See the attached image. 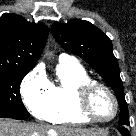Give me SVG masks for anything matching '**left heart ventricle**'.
Instances as JSON below:
<instances>
[{
	"label": "left heart ventricle",
	"instance_id": "1",
	"mask_svg": "<svg viewBox=\"0 0 136 136\" xmlns=\"http://www.w3.org/2000/svg\"><path fill=\"white\" fill-rule=\"evenodd\" d=\"M93 113L102 119L109 118L113 114L114 106L110 96L104 90H97L91 100Z\"/></svg>",
	"mask_w": 136,
	"mask_h": 136
}]
</instances>
